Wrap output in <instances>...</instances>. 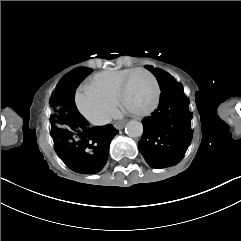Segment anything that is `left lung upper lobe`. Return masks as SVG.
<instances>
[{
	"instance_id": "obj_1",
	"label": "left lung upper lobe",
	"mask_w": 241,
	"mask_h": 241,
	"mask_svg": "<svg viewBox=\"0 0 241 241\" xmlns=\"http://www.w3.org/2000/svg\"><path fill=\"white\" fill-rule=\"evenodd\" d=\"M146 69L151 71L154 74V76L157 78L161 90H165L170 85L177 84V82L173 79V77L163 70L154 69L149 66H146Z\"/></svg>"
}]
</instances>
